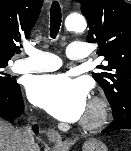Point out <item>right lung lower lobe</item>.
Returning <instances> with one entry per match:
<instances>
[{"mask_svg": "<svg viewBox=\"0 0 131 151\" xmlns=\"http://www.w3.org/2000/svg\"><path fill=\"white\" fill-rule=\"evenodd\" d=\"M24 110V102L18 83L12 86H0V117L13 119L19 117ZM34 132L38 133L37 125L33 126Z\"/></svg>", "mask_w": 131, "mask_h": 151, "instance_id": "right-lung-lower-lobe-1", "label": "right lung lower lobe"}]
</instances>
